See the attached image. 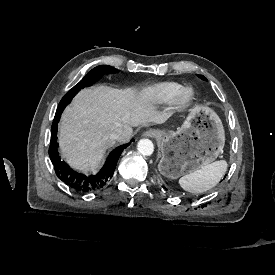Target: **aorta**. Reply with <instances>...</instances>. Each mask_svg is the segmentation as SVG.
Returning <instances> with one entry per match:
<instances>
[{"label": "aorta", "instance_id": "762f6f07", "mask_svg": "<svg viewBox=\"0 0 275 275\" xmlns=\"http://www.w3.org/2000/svg\"><path fill=\"white\" fill-rule=\"evenodd\" d=\"M137 150L141 155L151 156L154 152V144L149 139H142L138 142Z\"/></svg>", "mask_w": 275, "mask_h": 275}]
</instances>
